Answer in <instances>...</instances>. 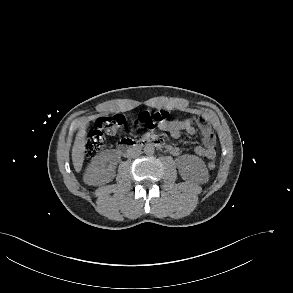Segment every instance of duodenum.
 <instances>
[{
  "label": "duodenum",
  "mask_w": 293,
  "mask_h": 293,
  "mask_svg": "<svg viewBox=\"0 0 293 293\" xmlns=\"http://www.w3.org/2000/svg\"><path fill=\"white\" fill-rule=\"evenodd\" d=\"M165 146L164 142L157 138H144L141 141H135L133 139H122L117 144L118 152L123 156H129L133 154L138 149L144 147H157L163 148Z\"/></svg>",
  "instance_id": "1"
}]
</instances>
